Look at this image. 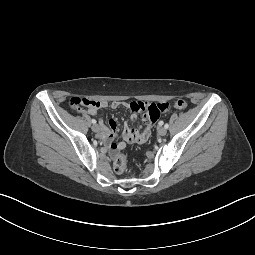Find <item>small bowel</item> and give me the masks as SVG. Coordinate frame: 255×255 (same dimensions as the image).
Returning a JSON list of instances; mask_svg holds the SVG:
<instances>
[{
    "instance_id": "small-bowel-1",
    "label": "small bowel",
    "mask_w": 255,
    "mask_h": 255,
    "mask_svg": "<svg viewBox=\"0 0 255 255\" xmlns=\"http://www.w3.org/2000/svg\"><path fill=\"white\" fill-rule=\"evenodd\" d=\"M127 103H122L118 101L107 102V101H97V105L88 106L87 113L89 115H96L99 108H117L119 106H127ZM131 108L134 111H144V122L146 126L144 128L136 129L125 125L122 131L123 141L116 144L113 142L118 126L114 119L108 121V126H104L101 121V132L100 138L110 145L113 152L122 150L127 144L131 143H142L145 142L151 133V127L157 120L161 119L163 115L171 112L172 105L168 101H163L161 103H145L141 101H134L131 103ZM137 115L134 113L131 119L136 120Z\"/></svg>"
}]
</instances>
